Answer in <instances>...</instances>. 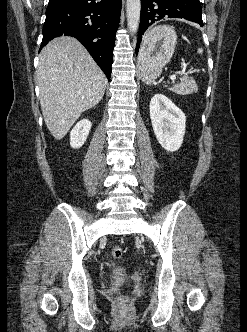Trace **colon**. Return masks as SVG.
Wrapping results in <instances>:
<instances>
[{"label":"colon","instance_id":"obj_1","mask_svg":"<svg viewBox=\"0 0 247 332\" xmlns=\"http://www.w3.org/2000/svg\"><path fill=\"white\" fill-rule=\"evenodd\" d=\"M114 258L120 259L123 256V249L120 246H114L111 250ZM127 298L125 296H120L119 301L126 302Z\"/></svg>","mask_w":247,"mask_h":332}]
</instances>
